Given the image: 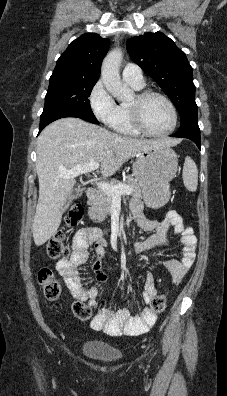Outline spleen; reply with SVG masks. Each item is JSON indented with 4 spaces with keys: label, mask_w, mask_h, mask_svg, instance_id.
<instances>
[{
    "label": "spleen",
    "mask_w": 227,
    "mask_h": 396,
    "mask_svg": "<svg viewBox=\"0 0 227 396\" xmlns=\"http://www.w3.org/2000/svg\"><path fill=\"white\" fill-rule=\"evenodd\" d=\"M182 178L187 190L195 192L198 185V169L195 162L189 156L185 158Z\"/></svg>",
    "instance_id": "spleen-1"
}]
</instances>
